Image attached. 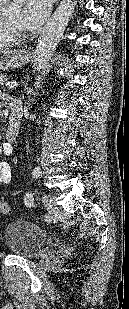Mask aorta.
<instances>
[{
  "label": "aorta",
  "mask_w": 129,
  "mask_h": 309,
  "mask_svg": "<svg viewBox=\"0 0 129 309\" xmlns=\"http://www.w3.org/2000/svg\"><path fill=\"white\" fill-rule=\"evenodd\" d=\"M71 0H67L55 12L52 19L43 27L38 38V43L34 56L35 66V89H40L43 78L47 74L50 60L59 44L63 32L68 23V17L71 11Z\"/></svg>",
  "instance_id": "aorta-1"
}]
</instances>
